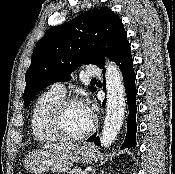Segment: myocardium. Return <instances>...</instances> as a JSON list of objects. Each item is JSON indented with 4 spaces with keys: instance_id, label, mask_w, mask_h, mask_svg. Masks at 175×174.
Segmentation results:
<instances>
[{
    "instance_id": "1",
    "label": "myocardium",
    "mask_w": 175,
    "mask_h": 174,
    "mask_svg": "<svg viewBox=\"0 0 175 174\" xmlns=\"http://www.w3.org/2000/svg\"><path fill=\"white\" fill-rule=\"evenodd\" d=\"M83 104L78 97L62 98L57 102L49 113L48 124L51 132L60 140L64 141H79L87 138L95 129L96 122L93 119L90 126L84 132L77 135H70L66 133L61 126V117L64 110L71 104Z\"/></svg>"
}]
</instances>
